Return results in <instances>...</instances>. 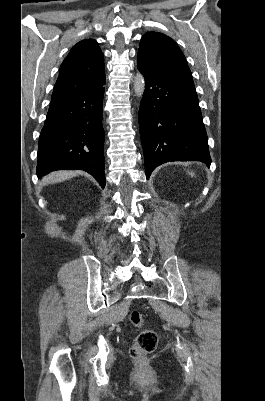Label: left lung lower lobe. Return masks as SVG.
I'll list each match as a JSON object with an SVG mask.
<instances>
[{"mask_svg":"<svg viewBox=\"0 0 265 401\" xmlns=\"http://www.w3.org/2000/svg\"><path fill=\"white\" fill-rule=\"evenodd\" d=\"M137 65L145 78L139 127L147 179L157 166L169 161H202L210 166L208 138L193 80Z\"/></svg>","mask_w":265,"mask_h":401,"instance_id":"left-lung-lower-lobe-1","label":"left lung lower lobe"}]
</instances>
